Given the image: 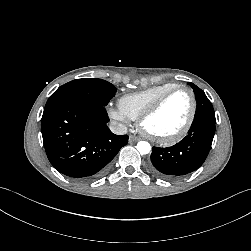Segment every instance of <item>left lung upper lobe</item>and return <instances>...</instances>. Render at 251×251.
I'll return each instance as SVG.
<instances>
[{"instance_id":"5c2ea615","label":"left lung upper lobe","mask_w":251,"mask_h":251,"mask_svg":"<svg viewBox=\"0 0 251 251\" xmlns=\"http://www.w3.org/2000/svg\"><path fill=\"white\" fill-rule=\"evenodd\" d=\"M190 86L195 91L196 100H197V108H196L195 117L202 114L215 116L213 106L211 102L209 101V99L207 98V96L205 95V93L193 83H190Z\"/></svg>"}]
</instances>
